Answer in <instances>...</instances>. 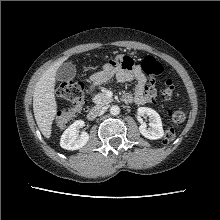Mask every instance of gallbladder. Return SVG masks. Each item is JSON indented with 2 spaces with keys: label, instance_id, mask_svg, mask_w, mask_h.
<instances>
[{
  "label": "gallbladder",
  "instance_id": "obj_1",
  "mask_svg": "<svg viewBox=\"0 0 220 220\" xmlns=\"http://www.w3.org/2000/svg\"><path fill=\"white\" fill-rule=\"evenodd\" d=\"M76 75V67L71 62H66L60 65L56 72V79L58 81H70Z\"/></svg>",
  "mask_w": 220,
  "mask_h": 220
}]
</instances>
